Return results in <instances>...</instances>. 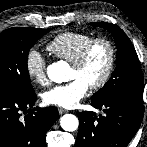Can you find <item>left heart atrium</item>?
<instances>
[{
  "label": "left heart atrium",
  "instance_id": "39dd6f15",
  "mask_svg": "<svg viewBox=\"0 0 147 147\" xmlns=\"http://www.w3.org/2000/svg\"><path fill=\"white\" fill-rule=\"evenodd\" d=\"M89 85L81 79H74L66 84L57 85L43 94V101L47 105L63 108H74L84 98Z\"/></svg>",
  "mask_w": 147,
  "mask_h": 147
}]
</instances>
